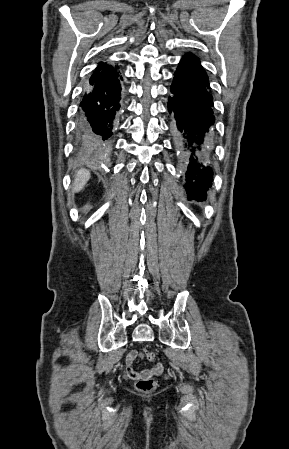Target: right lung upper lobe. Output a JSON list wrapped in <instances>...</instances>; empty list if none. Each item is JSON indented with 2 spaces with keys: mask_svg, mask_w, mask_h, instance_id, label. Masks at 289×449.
Wrapping results in <instances>:
<instances>
[{
  "mask_svg": "<svg viewBox=\"0 0 289 449\" xmlns=\"http://www.w3.org/2000/svg\"><path fill=\"white\" fill-rule=\"evenodd\" d=\"M107 65L106 63L100 62L98 66Z\"/></svg>",
  "mask_w": 289,
  "mask_h": 449,
  "instance_id": "obj_1",
  "label": "right lung upper lobe"
}]
</instances>
